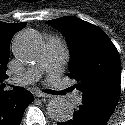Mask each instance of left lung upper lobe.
Listing matches in <instances>:
<instances>
[{
	"label": "left lung upper lobe",
	"instance_id": "1",
	"mask_svg": "<svg viewBox=\"0 0 125 125\" xmlns=\"http://www.w3.org/2000/svg\"><path fill=\"white\" fill-rule=\"evenodd\" d=\"M70 46V77L83 93L82 104L114 111L120 97L121 63L109 37L97 26L73 16L48 21Z\"/></svg>",
	"mask_w": 125,
	"mask_h": 125
}]
</instances>
